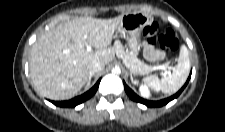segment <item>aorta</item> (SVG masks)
<instances>
[{
    "mask_svg": "<svg viewBox=\"0 0 225 132\" xmlns=\"http://www.w3.org/2000/svg\"><path fill=\"white\" fill-rule=\"evenodd\" d=\"M114 73L119 74L120 73V69L119 68L114 69Z\"/></svg>",
    "mask_w": 225,
    "mask_h": 132,
    "instance_id": "762f6f07",
    "label": "aorta"
}]
</instances>
